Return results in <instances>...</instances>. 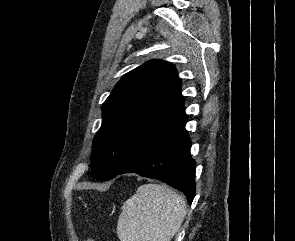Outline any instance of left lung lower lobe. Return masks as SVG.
Wrapping results in <instances>:
<instances>
[{
  "instance_id": "0a47b994",
  "label": "left lung lower lobe",
  "mask_w": 295,
  "mask_h": 241,
  "mask_svg": "<svg viewBox=\"0 0 295 241\" xmlns=\"http://www.w3.org/2000/svg\"><path fill=\"white\" fill-rule=\"evenodd\" d=\"M186 122L187 120L148 144L111 179L124 173L158 179L182 191L191 204L196 190V163L190 155L191 141L185 129Z\"/></svg>"
}]
</instances>
